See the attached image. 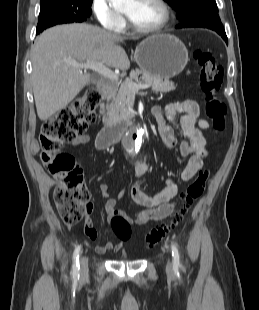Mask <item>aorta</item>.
Listing matches in <instances>:
<instances>
[{
  "label": "aorta",
  "mask_w": 259,
  "mask_h": 310,
  "mask_svg": "<svg viewBox=\"0 0 259 310\" xmlns=\"http://www.w3.org/2000/svg\"><path fill=\"white\" fill-rule=\"evenodd\" d=\"M108 1L110 2V4L112 5V7L115 10H120L125 5L130 3L132 0H108ZM127 142H128V148L130 150L138 151L140 149V147H141V144H142V133L140 131H138L137 132V136L135 137V139L130 134L128 136V138H127Z\"/></svg>",
  "instance_id": "aorta-1"
}]
</instances>
